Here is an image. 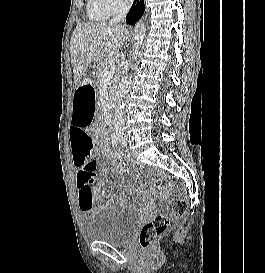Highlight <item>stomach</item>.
<instances>
[{"label": "stomach", "mask_w": 265, "mask_h": 273, "mask_svg": "<svg viewBox=\"0 0 265 273\" xmlns=\"http://www.w3.org/2000/svg\"><path fill=\"white\" fill-rule=\"evenodd\" d=\"M76 90H96V85H94V81L92 75L86 77L81 85H76Z\"/></svg>", "instance_id": "0dacf381"}]
</instances>
